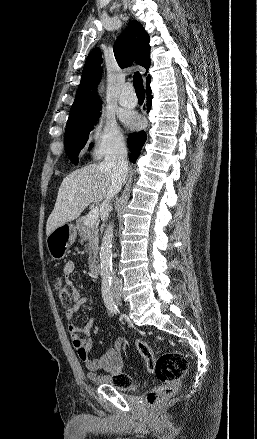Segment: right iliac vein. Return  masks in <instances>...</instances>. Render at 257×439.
<instances>
[{
    "mask_svg": "<svg viewBox=\"0 0 257 439\" xmlns=\"http://www.w3.org/2000/svg\"><path fill=\"white\" fill-rule=\"evenodd\" d=\"M116 296H117V297H120V296H121V294L117 293V294H116Z\"/></svg>",
    "mask_w": 257,
    "mask_h": 439,
    "instance_id": "obj_1",
    "label": "right iliac vein"
}]
</instances>
